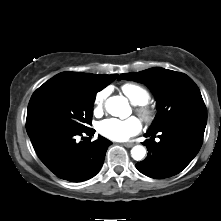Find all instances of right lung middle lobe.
I'll return each mask as SVG.
<instances>
[{
  "instance_id": "dd1d6c3e",
  "label": "right lung middle lobe",
  "mask_w": 221,
  "mask_h": 221,
  "mask_svg": "<svg viewBox=\"0 0 221 221\" xmlns=\"http://www.w3.org/2000/svg\"><path fill=\"white\" fill-rule=\"evenodd\" d=\"M98 91L100 89L68 78H51L30 99L26 129L55 126L76 132L88 131Z\"/></svg>"
}]
</instances>
